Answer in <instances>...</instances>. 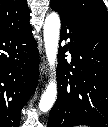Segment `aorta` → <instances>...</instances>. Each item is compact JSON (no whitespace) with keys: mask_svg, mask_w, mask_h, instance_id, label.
<instances>
[{"mask_svg":"<svg viewBox=\"0 0 108 127\" xmlns=\"http://www.w3.org/2000/svg\"><path fill=\"white\" fill-rule=\"evenodd\" d=\"M44 45L46 56L51 68H53V78L50 80L46 90L41 96L39 109L42 112L49 111L55 103L57 97V84L55 79V64L57 61L58 43L60 35V17L52 12L46 16L44 23Z\"/></svg>","mask_w":108,"mask_h":127,"instance_id":"1","label":"aorta"}]
</instances>
